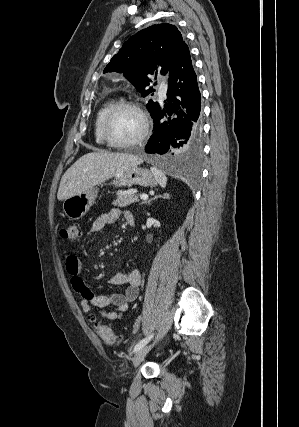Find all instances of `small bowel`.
I'll return each mask as SVG.
<instances>
[{
	"label": "small bowel",
	"instance_id": "obj_1",
	"mask_svg": "<svg viewBox=\"0 0 299 427\" xmlns=\"http://www.w3.org/2000/svg\"><path fill=\"white\" fill-rule=\"evenodd\" d=\"M121 216V210L113 208L99 216L92 224L89 235L97 234L106 227L116 222ZM133 216L130 212H124L125 220ZM66 270L71 278L74 290L80 294L82 310L92 320H119L127 312L129 304L133 302L139 292L141 273L137 269H130L113 275L110 283L113 285H125L123 293L95 294L88 288L82 278L83 264L79 257L71 254L66 259ZM108 306H114V310H105Z\"/></svg>",
	"mask_w": 299,
	"mask_h": 427
}]
</instances>
